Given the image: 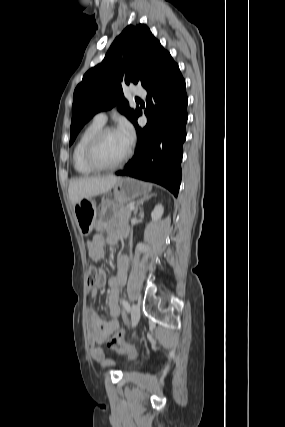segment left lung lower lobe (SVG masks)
<instances>
[{
  "instance_id": "left-lung-lower-lobe-1",
  "label": "left lung lower lobe",
  "mask_w": 285,
  "mask_h": 427,
  "mask_svg": "<svg viewBox=\"0 0 285 427\" xmlns=\"http://www.w3.org/2000/svg\"><path fill=\"white\" fill-rule=\"evenodd\" d=\"M147 90V125L133 122L137 130L135 156L116 175L160 184L175 196L181 183L182 145L186 138L187 95L185 80L168 53Z\"/></svg>"
}]
</instances>
